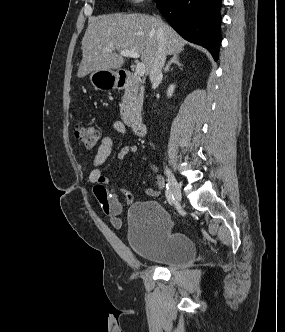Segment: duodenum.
Wrapping results in <instances>:
<instances>
[{
    "instance_id": "duodenum-1",
    "label": "duodenum",
    "mask_w": 285,
    "mask_h": 332,
    "mask_svg": "<svg viewBox=\"0 0 285 332\" xmlns=\"http://www.w3.org/2000/svg\"><path fill=\"white\" fill-rule=\"evenodd\" d=\"M134 77L129 72H122L118 76V87L120 89H130L134 86ZM133 132L138 136H145L147 134V126L142 121H134L131 124Z\"/></svg>"
}]
</instances>
